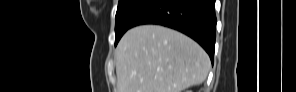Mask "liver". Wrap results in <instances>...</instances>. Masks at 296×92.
I'll return each mask as SVG.
<instances>
[{
    "instance_id": "obj_1",
    "label": "liver",
    "mask_w": 296,
    "mask_h": 92,
    "mask_svg": "<svg viewBox=\"0 0 296 92\" xmlns=\"http://www.w3.org/2000/svg\"><path fill=\"white\" fill-rule=\"evenodd\" d=\"M115 57L118 92H181L203 83L211 66L195 41L159 25L128 30Z\"/></svg>"
}]
</instances>
